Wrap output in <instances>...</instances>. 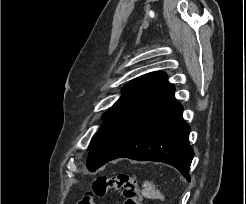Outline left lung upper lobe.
I'll return each instance as SVG.
<instances>
[{
  "label": "left lung upper lobe",
  "instance_id": "1",
  "mask_svg": "<svg viewBox=\"0 0 246 204\" xmlns=\"http://www.w3.org/2000/svg\"><path fill=\"white\" fill-rule=\"evenodd\" d=\"M168 84L166 74L163 72H151L126 84L122 89L123 95L103 115L104 124L91 139L88 150H90L97 138L115 121Z\"/></svg>",
  "mask_w": 246,
  "mask_h": 204
}]
</instances>
